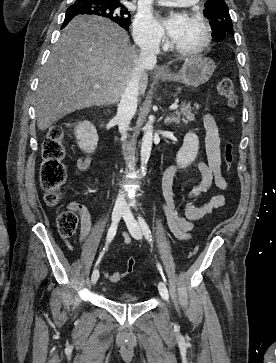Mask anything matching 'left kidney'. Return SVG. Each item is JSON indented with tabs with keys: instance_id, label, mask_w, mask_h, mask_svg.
I'll use <instances>...</instances> for the list:
<instances>
[{
	"instance_id": "1",
	"label": "left kidney",
	"mask_w": 276,
	"mask_h": 363,
	"mask_svg": "<svg viewBox=\"0 0 276 363\" xmlns=\"http://www.w3.org/2000/svg\"><path fill=\"white\" fill-rule=\"evenodd\" d=\"M199 150V139L196 134L189 132L185 135L183 145L176 155L177 164L185 168L197 157Z\"/></svg>"
}]
</instances>
